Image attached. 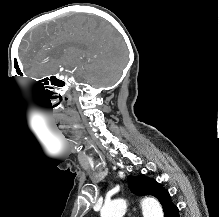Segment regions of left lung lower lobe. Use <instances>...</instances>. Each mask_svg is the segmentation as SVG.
I'll use <instances>...</instances> for the list:
<instances>
[{
    "label": "left lung lower lobe",
    "instance_id": "0a47b994",
    "mask_svg": "<svg viewBox=\"0 0 219 217\" xmlns=\"http://www.w3.org/2000/svg\"><path fill=\"white\" fill-rule=\"evenodd\" d=\"M165 217H179V210L177 206L171 204L164 212Z\"/></svg>",
    "mask_w": 219,
    "mask_h": 217
}]
</instances>
